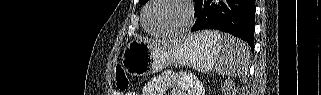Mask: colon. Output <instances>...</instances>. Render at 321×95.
Masks as SVG:
<instances>
[{
    "label": "colon",
    "instance_id": "obj_1",
    "mask_svg": "<svg viewBox=\"0 0 321 95\" xmlns=\"http://www.w3.org/2000/svg\"><path fill=\"white\" fill-rule=\"evenodd\" d=\"M116 86L119 90H126L129 85L128 77L121 66H116L114 71Z\"/></svg>",
    "mask_w": 321,
    "mask_h": 95
}]
</instances>
